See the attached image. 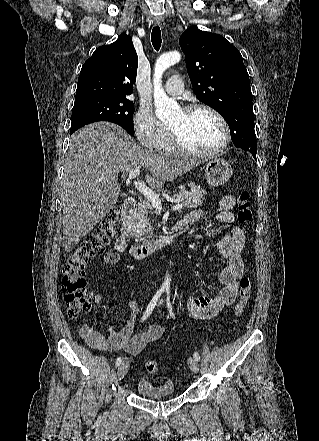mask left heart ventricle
<instances>
[{"instance_id": "b2bd125f", "label": "left heart ventricle", "mask_w": 319, "mask_h": 441, "mask_svg": "<svg viewBox=\"0 0 319 441\" xmlns=\"http://www.w3.org/2000/svg\"><path fill=\"white\" fill-rule=\"evenodd\" d=\"M168 127L177 133L185 146L199 152L217 148L224 138L219 121L203 110L189 114L181 110L169 120Z\"/></svg>"}]
</instances>
